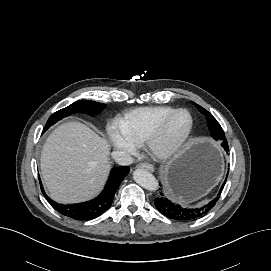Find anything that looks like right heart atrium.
Returning a JSON list of instances; mask_svg holds the SVG:
<instances>
[{
    "instance_id": "right-heart-atrium-1",
    "label": "right heart atrium",
    "mask_w": 271,
    "mask_h": 271,
    "mask_svg": "<svg viewBox=\"0 0 271 271\" xmlns=\"http://www.w3.org/2000/svg\"><path fill=\"white\" fill-rule=\"evenodd\" d=\"M107 136H108V140L110 142V144L118 149L121 150L123 152L132 154L135 152L136 150V145L134 143H132L123 133L122 131L113 126L110 127L107 130Z\"/></svg>"
}]
</instances>
